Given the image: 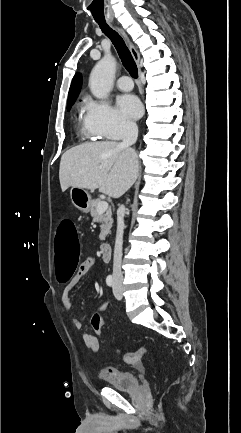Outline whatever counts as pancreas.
Masks as SVG:
<instances>
[{
    "instance_id": "obj_1",
    "label": "pancreas",
    "mask_w": 241,
    "mask_h": 433,
    "mask_svg": "<svg viewBox=\"0 0 241 433\" xmlns=\"http://www.w3.org/2000/svg\"><path fill=\"white\" fill-rule=\"evenodd\" d=\"M101 202L100 199L93 200L90 207V214L93 217V220L96 222H100L101 232L99 235V239L101 241L105 240L107 234L110 233V229L112 227L113 219L111 209L106 210L104 213L99 214L97 212V206Z\"/></svg>"
}]
</instances>
